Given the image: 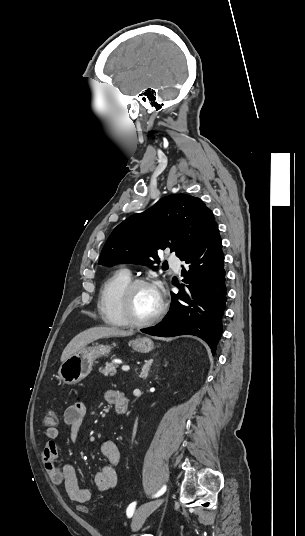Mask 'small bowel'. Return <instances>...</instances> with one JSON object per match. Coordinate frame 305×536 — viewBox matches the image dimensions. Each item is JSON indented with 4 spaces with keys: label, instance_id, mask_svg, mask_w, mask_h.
<instances>
[{
    "label": "small bowel",
    "instance_id": "small-bowel-1",
    "mask_svg": "<svg viewBox=\"0 0 305 536\" xmlns=\"http://www.w3.org/2000/svg\"><path fill=\"white\" fill-rule=\"evenodd\" d=\"M116 391L108 390L104 393V399L113 403ZM86 406L83 402H75L64 412V420L71 427V438L76 441L80 428L86 417ZM59 430L50 426L46 429V440L41 450V457L45 471L55 485H64L67 496L71 501L90 500L93 493L88 489H82L78 485L75 466L72 463L65 464L60 468L56 459L58 457ZM99 451L106 460V464L96 473L94 483L99 491H107L115 487L118 480L116 467L121 461V453L112 439H103L99 444Z\"/></svg>",
    "mask_w": 305,
    "mask_h": 536
}]
</instances>
